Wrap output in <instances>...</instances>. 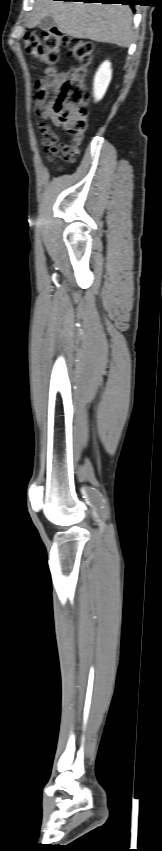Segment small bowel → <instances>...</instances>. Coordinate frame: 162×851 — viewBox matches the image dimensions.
<instances>
[{
    "instance_id": "obj_1",
    "label": "small bowel",
    "mask_w": 162,
    "mask_h": 851,
    "mask_svg": "<svg viewBox=\"0 0 162 851\" xmlns=\"http://www.w3.org/2000/svg\"><path fill=\"white\" fill-rule=\"evenodd\" d=\"M46 76L39 79L35 85L33 95L34 111L40 117L38 123L39 132L42 135V144L49 159L60 157L69 161L70 152L77 149L78 145L72 142V145H58L59 136L54 132L46 121L56 122L54 111V97H50L51 93L57 95L60 93L63 83L67 79V73L55 67H49L45 70Z\"/></svg>"
}]
</instances>
